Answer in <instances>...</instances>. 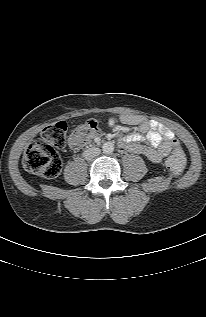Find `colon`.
Segmentation results:
<instances>
[{
	"mask_svg": "<svg viewBox=\"0 0 206 317\" xmlns=\"http://www.w3.org/2000/svg\"><path fill=\"white\" fill-rule=\"evenodd\" d=\"M99 130V121L90 119L79 126L74 136L78 141H86ZM67 124L64 121L51 124L41 132V137L35 140L26 150L23 157L24 168L43 178H55L62 169V161L57 152L66 144ZM186 164V157L181 149L175 148L174 153L166 160L167 168L180 175Z\"/></svg>",
	"mask_w": 206,
	"mask_h": 317,
	"instance_id": "1",
	"label": "colon"
}]
</instances>
